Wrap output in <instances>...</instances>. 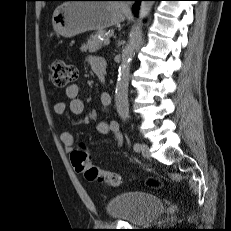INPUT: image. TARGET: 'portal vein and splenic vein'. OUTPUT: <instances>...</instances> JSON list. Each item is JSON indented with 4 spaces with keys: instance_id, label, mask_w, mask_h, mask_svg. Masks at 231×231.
Here are the masks:
<instances>
[{
    "instance_id": "1",
    "label": "portal vein and splenic vein",
    "mask_w": 231,
    "mask_h": 231,
    "mask_svg": "<svg viewBox=\"0 0 231 231\" xmlns=\"http://www.w3.org/2000/svg\"><path fill=\"white\" fill-rule=\"evenodd\" d=\"M104 45H109L110 44V40L109 39H105L103 42Z\"/></svg>"
}]
</instances>
